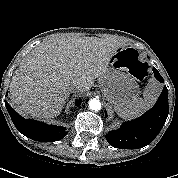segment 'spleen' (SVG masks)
<instances>
[{
	"mask_svg": "<svg viewBox=\"0 0 178 178\" xmlns=\"http://www.w3.org/2000/svg\"><path fill=\"white\" fill-rule=\"evenodd\" d=\"M158 95L159 87L155 84H150L144 91V98L135 97L129 102L116 105L114 109L121 118L131 119L142 114L152 106Z\"/></svg>",
	"mask_w": 178,
	"mask_h": 178,
	"instance_id": "1",
	"label": "spleen"
}]
</instances>
